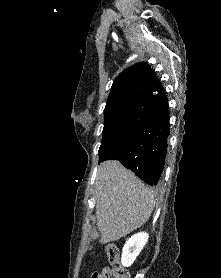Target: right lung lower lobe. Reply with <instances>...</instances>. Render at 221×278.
I'll use <instances>...</instances> for the list:
<instances>
[{
  "label": "right lung lower lobe",
  "instance_id": "right-lung-lower-lobe-1",
  "mask_svg": "<svg viewBox=\"0 0 221 278\" xmlns=\"http://www.w3.org/2000/svg\"><path fill=\"white\" fill-rule=\"evenodd\" d=\"M153 112L124 140L106 153L99 163L119 160L149 185H156L165 164L169 136V111L166 93L146 103Z\"/></svg>",
  "mask_w": 221,
  "mask_h": 278
}]
</instances>
